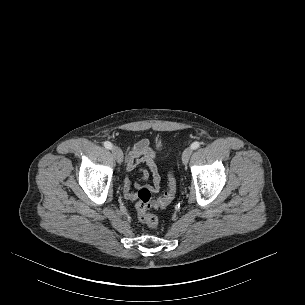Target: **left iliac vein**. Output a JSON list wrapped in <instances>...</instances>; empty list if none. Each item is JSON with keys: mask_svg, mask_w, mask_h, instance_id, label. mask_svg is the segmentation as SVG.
<instances>
[{"mask_svg": "<svg viewBox=\"0 0 305 305\" xmlns=\"http://www.w3.org/2000/svg\"><path fill=\"white\" fill-rule=\"evenodd\" d=\"M191 154H192V148L191 147H187L183 151V153H182V162H183V164H187L188 163Z\"/></svg>", "mask_w": 305, "mask_h": 305, "instance_id": "4c4485c4", "label": "left iliac vein"}]
</instances>
